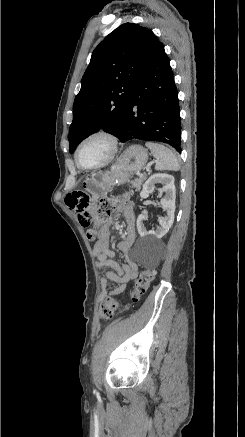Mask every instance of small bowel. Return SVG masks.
<instances>
[{
	"label": "small bowel",
	"mask_w": 245,
	"mask_h": 437,
	"mask_svg": "<svg viewBox=\"0 0 245 437\" xmlns=\"http://www.w3.org/2000/svg\"><path fill=\"white\" fill-rule=\"evenodd\" d=\"M68 206L75 211L77 222L81 224L82 229H91L92 222L89 213V199L79 192L72 193L67 198ZM116 209L122 213L126 221L125 237L121 240L117 247L124 254L125 262L122 263L116 260L115 253L110 249L109 235L110 223L102 225L100 229V238L95 242L93 254L96 257V265L99 268L105 267L112 270L106 271V278L102 280V287L106 289L109 281L118 283L113 293L118 295L122 293L128 282L135 279L138 274L137 263L130 257L129 252L135 242V214L132 202L123 200L114 203ZM105 292L100 296V299L105 298Z\"/></svg>",
	"instance_id": "obj_1"
}]
</instances>
